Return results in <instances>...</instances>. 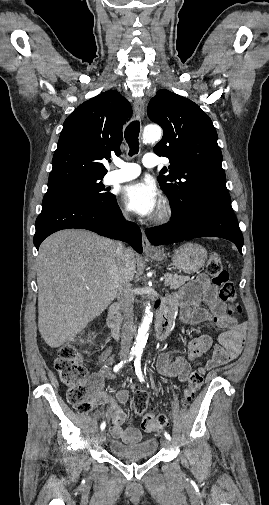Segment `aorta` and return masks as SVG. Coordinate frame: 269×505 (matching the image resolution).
I'll use <instances>...</instances> for the list:
<instances>
[{"instance_id": "aorta-1", "label": "aorta", "mask_w": 269, "mask_h": 505, "mask_svg": "<svg viewBox=\"0 0 269 505\" xmlns=\"http://www.w3.org/2000/svg\"><path fill=\"white\" fill-rule=\"evenodd\" d=\"M162 136V129L157 125H149L144 128L143 131V141L145 143H151L160 140ZM153 313L151 312V305L148 304L145 308V315L142 319V323L139 326L138 333L136 336V341L134 342L133 349L136 352H142L147 339L150 324L152 322Z\"/></svg>"}]
</instances>
